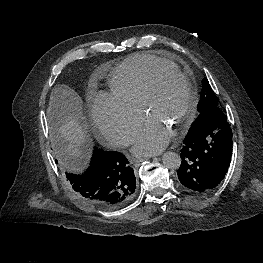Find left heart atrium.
<instances>
[{"label": "left heart atrium", "mask_w": 263, "mask_h": 263, "mask_svg": "<svg viewBox=\"0 0 263 263\" xmlns=\"http://www.w3.org/2000/svg\"><path fill=\"white\" fill-rule=\"evenodd\" d=\"M171 133L158 121L147 118L134 145L137 155H149L161 151L170 141Z\"/></svg>", "instance_id": "39dd6f15"}]
</instances>
